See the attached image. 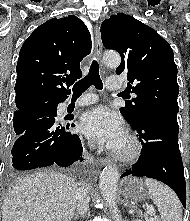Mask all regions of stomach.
Instances as JSON below:
<instances>
[{
  "label": "stomach",
  "instance_id": "obj_1",
  "mask_svg": "<svg viewBox=\"0 0 190 221\" xmlns=\"http://www.w3.org/2000/svg\"><path fill=\"white\" fill-rule=\"evenodd\" d=\"M123 190L125 196L131 200L144 201L150 197L146 184L140 178L130 177L125 179Z\"/></svg>",
  "mask_w": 190,
  "mask_h": 221
}]
</instances>
